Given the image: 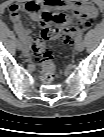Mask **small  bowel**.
<instances>
[{
  "label": "small bowel",
  "mask_w": 104,
  "mask_h": 137,
  "mask_svg": "<svg viewBox=\"0 0 104 137\" xmlns=\"http://www.w3.org/2000/svg\"><path fill=\"white\" fill-rule=\"evenodd\" d=\"M29 13L34 21L42 22V14H47L52 21L79 38L82 29L90 27L98 16L97 9L85 0H30L23 4H12L8 9V19L18 31L26 44L28 54L31 53L30 31L21 22L19 12ZM69 11L72 15L65 12Z\"/></svg>",
  "instance_id": "obj_1"
}]
</instances>
